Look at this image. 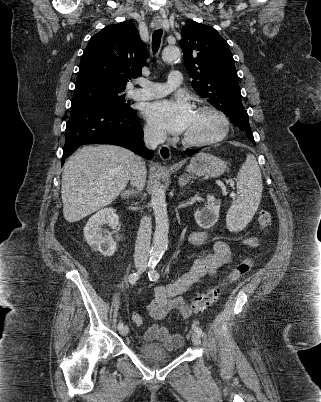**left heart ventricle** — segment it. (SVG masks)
Returning <instances> with one entry per match:
<instances>
[{
  "label": "left heart ventricle",
  "instance_id": "b2bd125f",
  "mask_svg": "<svg viewBox=\"0 0 321 402\" xmlns=\"http://www.w3.org/2000/svg\"><path fill=\"white\" fill-rule=\"evenodd\" d=\"M221 129L220 119L209 111H193L184 134L195 139H208Z\"/></svg>",
  "mask_w": 321,
  "mask_h": 402
}]
</instances>
